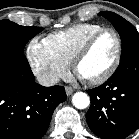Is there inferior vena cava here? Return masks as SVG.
<instances>
[{"instance_id":"obj_1","label":"inferior vena cava","mask_w":139,"mask_h":139,"mask_svg":"<svg viewBox=\"0 0 139 139\" xmlns=\"http://www.w3.org/2000/svg\"><path fill=\"white\" fill-rule=\"evenodd\" d=\"M37 80L42 86L49 87L58 83L59 78L53 74L42 73L37 75Z\"/></svg>"}]
</instances>
